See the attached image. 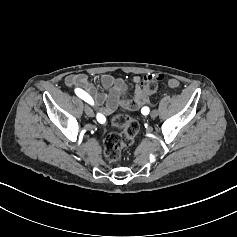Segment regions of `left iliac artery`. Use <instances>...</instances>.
<instances>
[{
    "mask_svg": "<svg viewBox=\"0 0 237 237\" xmlns=\"http://www.w3.org/2000/svg\"><path fill=\"white\" fill-rule=\"evenodd\" d=\"M141 112H142L143 115H147L149 113V108L148 107H143L141 109Z\"/></svg>",
    "mask_w": 237,
    "mask_h": 237,
    "instance_id": "1",
    "label": "left iliac artery"
}]
</instances>
